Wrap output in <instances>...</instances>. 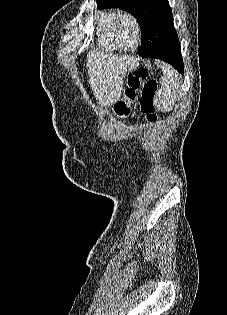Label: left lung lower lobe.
I'll return each instance as SVG.
<instances>
[{
    "mask_svg": "<svg viewBox=\"0 0 227 315\" xmlns=\"http://www.w3.org/2000/svg\"><path fill=\"white\" fill-rule=\"evenodd\" d=\"M155 42L150 39H143L138 53L142 57L156 58L168 62L174 66L177 71L183 74V61L180 48L175 50L160 51L156 48Z\"/></svg>",
    "mask_w": 227,
    "mask_h": 315,
    "instance_id": "1",
    "label": "left lung lower lobe"
}]
</instances>
